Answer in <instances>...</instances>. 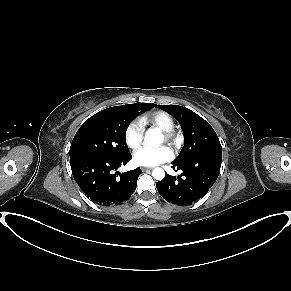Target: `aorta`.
<instances>
[{
  "instance_id": "obj_1",
  "label": "aorta",
  "mask_w": 291,
  "mask_h": 291,
  "mask_svg": "<svg viewBox=\"0 0 291 291\" xmlns=\"http://www.w3.org/2000/svg\"><path fill=\"white\" fill-rule=\"evenodd\" d=\"M144 141L147 145H158L163 143V136L155 129H149L146 134ZM153 178L156 180H162L165 177V172L162 168H155L152 172Z\"/></svg>"
}]
</instances>
